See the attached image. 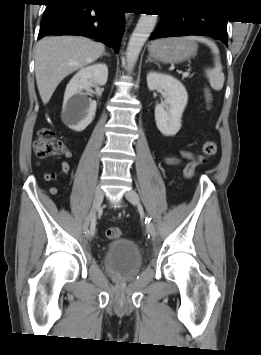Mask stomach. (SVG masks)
<instances>
[{
  "label": "stomach",
  "mask_w": 261,
  "mask_h": 355,
  "mask_svg": "<svg viewBox=\"0 0 261 355\" xmlns=\"http://www.w3.org/2000/svg\"><path fill=\"white\" fill-rule=\"evenodd\" d=\"M197 44L186 37L165 38L153 41L148 50L154 60L162 63H179L197 52Z\"/></svg>",
  "instance_id": "stomach-1"
}]
</instances>
